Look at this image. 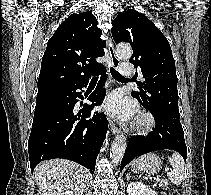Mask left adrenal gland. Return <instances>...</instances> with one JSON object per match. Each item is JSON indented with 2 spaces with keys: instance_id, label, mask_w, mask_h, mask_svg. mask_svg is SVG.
<instances>
[{
  "instance_id": "obj_1",
  "label": "left adrenal gland",
  "mask_w": 211,
  "mask_h": 195,
  "mask_svg": "<svg viewBox=\"0 0 211 195\" xmlns=\"http://www.w3.org/2000/svg\"><path fill=\"white\" fill-rule=\"evenodd\" d=\"M126 177H127V180L129 181V179H130V175H129V174H127V175H126Z\"/></svg>"
}]
</instances>
